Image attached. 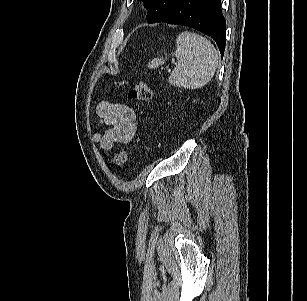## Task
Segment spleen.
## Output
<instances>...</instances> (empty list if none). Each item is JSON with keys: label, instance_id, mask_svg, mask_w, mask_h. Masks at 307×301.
Returning a JSON list of instances; mask_svg holds the SVG:
<instances>
[{"label": "spleen", "instance_id": "3e777b00", "mask_svg": "<svg viewBox=\"0 0 307 301\" xmlns=\"http://www.w3.org/2000/svg\"><path fill=\"white\" fill-rule=\"evenodd\" d=\"M177 49L173 55L177 65L169 76V83L185 89H198L214 76L218 66V53L205 37L185 31L177 36ZM164 63L163 58H154L148 63L153 69Z\"/></svg>", "mask_w": 307, "mask_h": 301}]
</instances>
